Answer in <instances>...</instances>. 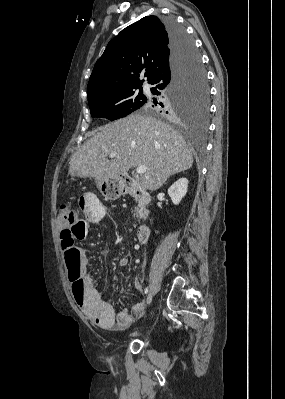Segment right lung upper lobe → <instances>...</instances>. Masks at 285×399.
Returning <instances> with one entry per match:
<instances>
[{"label": "right lung upper lobe", "mask_w": 285, "mask_h": 399, "mask_svg": "<svg viewBox=\"0 0 285 399\" xmlns=\"http://www.w3.org/2000/svg\"><path fill=\"white\" fill-rule=\"evenodd\" d=\"M170 41L165 24L146 16L122 30L96 62L88 83V101L141 87L169 65Z\"/></svg>", "instance_id": "right-lung-upper-lobe-1"}]
</instances>
